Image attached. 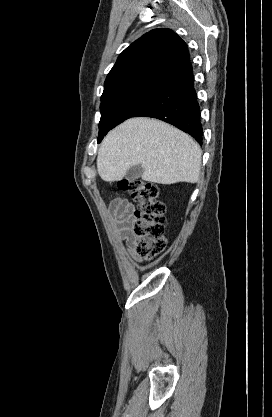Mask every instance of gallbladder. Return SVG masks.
Returning <instances> with one entry per match:
<instances>
[{
	"label": "gallbladder",
	"mask_w": 272,
	"mask_h": 417,
	"mask_svg": "<svg viewBox=\"0 0 272 417\" xmlns=\"http://www.w3.org/2000/svg\"><path fill=\"white\" fill-rule=\"evenodd\" d=\"M143 173V167L141 164L134 165L130 167V169L126 173V179L128 181H134L138 179Z\"/></svg>",
	"instance_id": "bac80fb5"
}]
</instances>
